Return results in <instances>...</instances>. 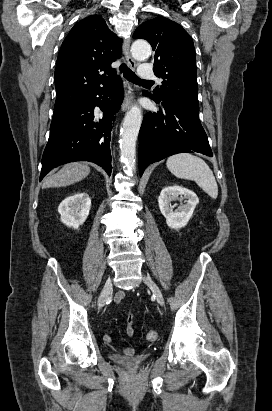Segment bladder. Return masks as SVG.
I'll list each match as a JSON object with an SVG mask.
<instances>
[{
  "instance_id": "31cf9c89",
  "label": "bladder",
  "mask_w": 272,
  "mask_h": 411,
  "mask_svg": "<svg viewBox=\"0 0 272 411\" xmlns=\"http://www.w3.org/2000/svg\"><path fill=\"white\" fill-rule=\"evenodd\" d=\"M149 357L150 355L148 353H142L132 357L113 355L112 360L128 370H136L140 368Z\"/></svg>"
}]
</instances>
